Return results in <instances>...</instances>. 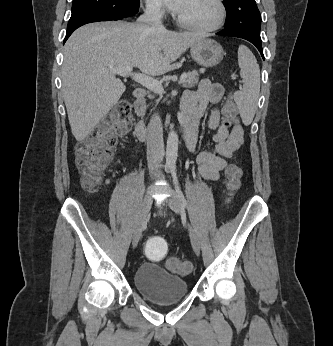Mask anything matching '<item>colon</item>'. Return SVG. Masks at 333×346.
Instances as JSON below:
<instances>
[{"label": "colon", "instance_id": "colon-1", "mask_svg": "<svg viewBox=\"0 0 333 346\" xmlns=\"http://www.w3.org/2000/svg\"><path fill=\"white\" fill-rule=\"evenodd\" d=\"M132 106L129 101H119L114 110L76 146V164L82 184L87 189L98 186L109 166L118 136L127 132L131 126ZM238 112L235 103L229 98L223 107V119L230 126L237 120ZM226 186L229 192H236L241 184L242 171L236 163H231L225 170ZM163 235L152 233L145 236L144 255L155 264L165 261L166 268L180 275L189 274L193 267L188 261L168 258L167 242Z\"/></svg>", "mask_w": 333, "mask_h": 346}]
</instances>
